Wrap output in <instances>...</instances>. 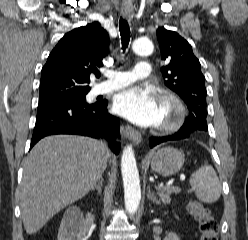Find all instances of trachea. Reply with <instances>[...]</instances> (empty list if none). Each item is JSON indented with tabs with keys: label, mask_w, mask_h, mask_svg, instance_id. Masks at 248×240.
Listing matches in <instances>:
<instances>
[{
	"label": "trachea",
	"mask_w": 248,
	"mask_h": 240,
	"mask_svg": "<svg viewBox=\"0 0 248 240\" xmlns=\"http://www.w3.org/2000/svg\"><path fill=\"white\" fill-rule=\"evenodd\" d=\"M119 29H120V35L122 40V48L125 50L128 47L129 41H130V28L127 20L120 18L119 21ZM98 77L100 74L97 75Z\"/></svg>",
	"instance_id": "trachea-1"
}]
</instances>
